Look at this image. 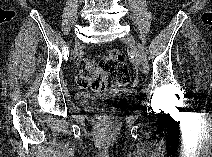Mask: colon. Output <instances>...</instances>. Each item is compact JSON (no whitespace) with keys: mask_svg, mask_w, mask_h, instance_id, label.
<instances>
[{"mask_svg":"<svg viewBox=\"0 0 212 157\" xmlns=\"http://www.w3.org/2000/svg\"><path fill=\"white\" fill-rule=\"evenodd\" d=\"M78 81L80 87L87 90H102L128 84L130 72L125 53L113 48L99 62L82 61Z\"/></svg>","mask_w":212,"mask_h":157,"instance_id":"5ec220e1","label":"colon"}]
</instances>
